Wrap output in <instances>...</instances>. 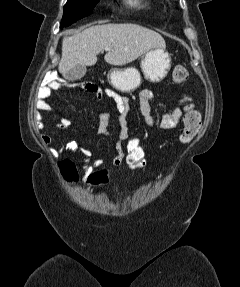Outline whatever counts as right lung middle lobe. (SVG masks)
<instances>
[{"label":"right lung middle lobe","instance_id":"obj_1","mask_svg":"<svg viewBox=\"0 0 240 287\" xmlns=\"http://www.w3.org/2000/svg\"><path fill=\"white\" fill-rule=\"evenodd\" d=\"M99 1L100 0H68L64 6L60 28L69 26L78 19L90 15Z\"/></svg>","mask_w":240,"mask_h":287}]
</instances>
